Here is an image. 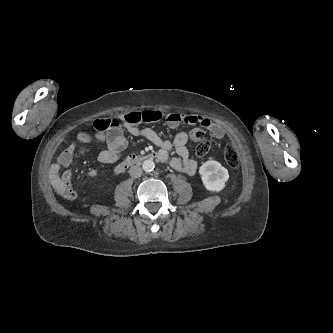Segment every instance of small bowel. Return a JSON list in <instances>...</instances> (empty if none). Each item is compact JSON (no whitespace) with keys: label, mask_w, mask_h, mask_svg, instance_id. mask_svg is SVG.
Returning <instances> with one entry per match:
<instances>
[{"label":"small bowel","mask_w":333,"mask_h":333,"mask_svg":"<svg viewBox=\"0 0 333 333\" xmlns=\"http://www.w3.org/2000/svg\"><path fill=\"white\" fill-rule=\"evenodd\" d=\"M162 117L158 110L133 111L124 115L122 125L116 131L97 132L91 135L87 132H80L77 135V141L81 143L105 142L107 147L100 152L98 160L104 164H113L117 162L124 154L127 141L123 135L122 128L133 136H141L152 142L159 149L157 151L158 159L162 162H168L176 171L187 175H194L197 172L198 165L190 157L187 147L188 133L179 132L173 140L162 139L151 128H140L142 122H155ZM165 121L170 127H177L182 124H199L207 128L213 137L221 139L224 136L223 128L211 121L209 118L201 115L169 113L165 116ZM76 145H69L57 158V161L50 166L49 180L55 191L68 200H75L77 194L71 188L73 154ZM171 150H175L178 157H169ZM89 176L94 177L97 174L95 169H90Z\"/></svg>","instance_id":"c3829d8e"}]
</instances>
